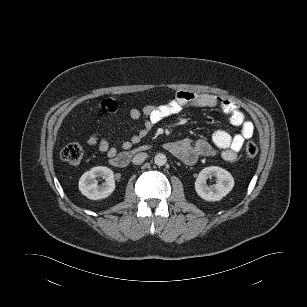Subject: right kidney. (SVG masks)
Returning a JSON list of instances; mask_svg holds the SVG:
<instances>
[{
  "instance_id": "obj_1",
  "label": "right kidney",
  "mask_w": 307,
  "mask_h": 307,
  "mask_svg": "<svg viewBox=\"0 0 307 307\" xmlns=\"http://www.w3.org/2000/svg\"><path fill=\"white\" fill-rule=\"evenodd\" d=\"M102 177L105 182L98 185L95 179ZM79 190L91 200L108 197L115 190L113 171L107 167L97 166L85 172L79 180Z\"/></svg>"
}]
</instances>
